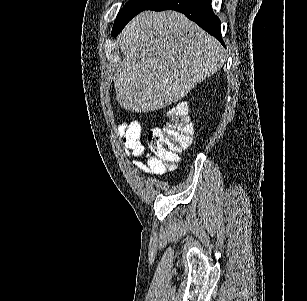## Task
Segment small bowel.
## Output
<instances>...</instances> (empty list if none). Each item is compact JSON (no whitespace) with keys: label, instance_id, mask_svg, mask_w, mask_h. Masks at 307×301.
Returning a JSON list of instances; mask_svg holds the SVG:
<instances>
[{"label":"small bowel","instance_id":"1","mask_svg":"<svg viewBox=\"0 0 307 301\" xmlns=\"http://www.w3.org/2000/svg\"><path fill=\"white\" fill-rule=\"evenodd\" d=\"M117 135L123 141L124 151L133 159V164L141 172L149 175H162L166 168L153 154L147 152L142 138V126L138 121L123 123L117 128ZM140 158H145L141 161Z\"/></svg>","mask_w":307,"mask_h":301}]
</instances>
